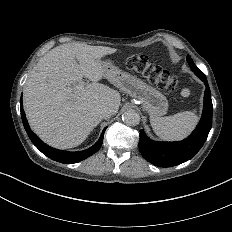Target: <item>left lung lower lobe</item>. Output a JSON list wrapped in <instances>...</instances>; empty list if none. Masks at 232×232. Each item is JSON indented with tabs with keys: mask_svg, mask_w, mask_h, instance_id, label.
I'll return each instance as SVG.
<instances>
[{
	"mask_svg": "<svg viewBox=\"0 0 232 232\" xmlns=\"http://www.w3.org/2000/svg\"><path fill=\"white\" fill-rule=\"evenodd\" d=\"M205 84L203 114L196 129L186 139L177 142H156L140 130L139 150L142 156L158 167H172L190 160L205 143L212 127L213 105L206 77H199Z\"/></svg>",
	"mask_w": 232,
	"mask_h": 232,
	"instance_id": "obj_1",
	"label": "left lung lower lobe"
}]
</instances>
